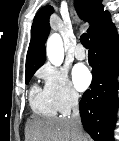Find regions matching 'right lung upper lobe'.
Masks as SVG:
<instances>
[{
  "label": "right lung upper lobe",
  "mask_w": 119,
  "mask_h": 141,
  "mask_svg": "<svg viewBox=\"0 0 119 141\" xmlns=\"http://www.w3.org/2000/svg\"><path fill=\"white\" fill-rule=\"evenodd\" d=\"M74 5L79 17L90 23L87 30L89 37L103 21L110 17V14L103 10L101 0H75ZM53 11L52 6H45L34 18L26 57V73L35 72L45 61L44 45L50 31L49 17Z\"/></svg>",
  "instance_id": "right-lung-upper-lobe-1"
}]
</instances>
